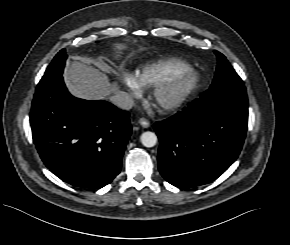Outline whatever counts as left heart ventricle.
I'll return each mask as SVG.
<instances>
[{"label":"left heart ventricle","instance_id":"left-heart-ventricle-1","mask_svg":"<svg viewBox=\"0 0 290 245\" xmlns=\"http://www.w3.org/2000/svg\"><path fill=\"white\" fill-rule=\"evenodd\" d=\"M171 95H172V94H171V93H169V94H167L166 96H167V97H170Z\"/></svg>","mask_w":290,"mask_h":245}]
</instances>
